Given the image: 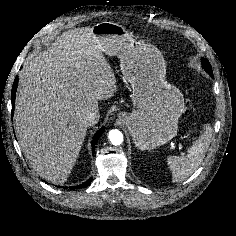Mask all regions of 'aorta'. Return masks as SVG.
<instances>
[{"label":"aorta","mask_w":236,"mask_h":236,"mask_svg":"<svg viewBox=\"0 0 236 236\" xmlns=\"http://www.w3.org/2000/svg\"><path fill=\"white\" fill-rule=\"evenodd\" d=\"M108 137L110 139V142L115 146H118V145L122 144V142H123V134L118 129H113V130L109 131Z\"/></svg>","instance_id":"obj_1"}]
</instances>
